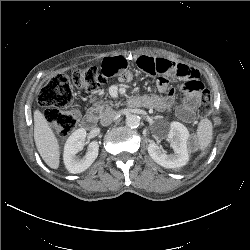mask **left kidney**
<instances>
[{"label":"left kidney","mask_w":250,"mask_h":250,"mask_svg":"<svg viewBox=\"0 0 250 250\" xmlns=\"http://www.w3.org/2000/svg\"><path fill=\"white\" fill-rule=\"evenodd\" d=\"M174 150L173 154H167L156 142H150L148 153L150 157L164 168L174 169L187 164L189 161L188 145L190 134L188 129L180 122L173 121L167 135Z\"/></svg>","instance_id":"left-kidney-1"}]
</instances>
